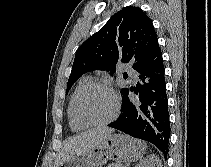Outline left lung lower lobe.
Listing matches in <instances>:
<instances>
[{
    "instance_id": "obj_1",
    "label": "left lung lower lobe",
    "mask_w": 211,
    "mask_h": 167,
    "mask_svg": "<svg viewBox=\"0 0 211 167\" xmlns=\"http://www.w3.org/2000/svg\"><path fill=\"white\" fill-rule=\"evenodd\" d=\"M138 83L123 93L122 115L109 127L154 144L165 157L168 154L170 122L166 95L165 68L160 47L138 69Z\"/></svg>"
}]
</instances>
